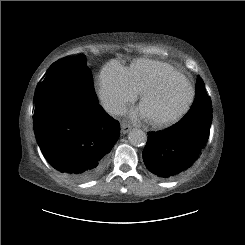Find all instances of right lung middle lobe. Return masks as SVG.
Returning a JSON list of instances; mask_svg holds the SVG:
<instances>
[{
	"label": "right lung middle lobe",
	"mask_w": 245,
	"mask_h": 245,
	"mask_svg": "<svg viewBox=\"0 0 245 245\" xmlns=\"http://www.w3.org/2000/svg\"><path fill=\"white\" fill-rule=\"evenodd\" d=\"M97 104L92 73L86 65V57L76 56L55 65L41 82L34 121L37 124L63 109Z\"/></svg>",
	"instance_id": "dd1d6c3e"
}]
</instances>
